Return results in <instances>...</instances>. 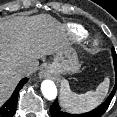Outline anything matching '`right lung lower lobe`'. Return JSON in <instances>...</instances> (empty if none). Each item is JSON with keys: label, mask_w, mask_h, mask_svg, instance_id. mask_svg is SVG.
Returning <instances> with one entry per match:
<instances>
[{"label": "right lung lower lobe", "mask_w": 117, "mask_h": 117, "mask_svg": "<svg viewBox=\"0 0 117 117\" xmlns=\"http://www.w3.org/2000/svg\"><path fill=\"white\" fill-rule=\"evenodd\" d=\"M28 81L27 78L22 79L17 85L15 91L9 100L0 108V117H12L15 114L18 94L22 86Z\"/></svg>", "instance_id": "98d812e1"}]
</instances>
